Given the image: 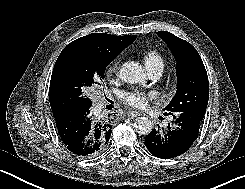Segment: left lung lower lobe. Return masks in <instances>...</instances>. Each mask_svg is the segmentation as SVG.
<instances>
[{"label": "left lung lower lobe", "mask_w": 245, "mask_h": 189, "mask_svg": "<svg viewBox=\"0 0 245 189\" xmlns=\"http://www.w3.org/2000/svg\"><path fill=\"white\" fill-rule=\"evenodd\" d=\"M175 127L166 131L153 129L145 137V146L148 151L158 158H173L185 153L196 140L201 120L187 112L174 116Z\"/></svg>", "instance_id": "obj_1"}]
</instances>
